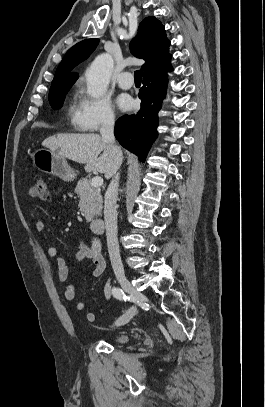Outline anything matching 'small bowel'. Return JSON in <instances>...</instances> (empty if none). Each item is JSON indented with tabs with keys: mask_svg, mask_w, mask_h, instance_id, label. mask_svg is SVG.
I'll list each match as a JSON object with an SVG mask.
<instances>
[{
	"mask_svg": "<svg viewBox=\"0 0 265 407\" xmlns=\"http://www.w3.org/2000/svg\"><path fill=\"white\" fill-rule=\"evenodd\" d=\"M34 228L36 231L41 232L45 228V222L44 220L38 218L34 222ZM47 254L49 257L54 258L56 260L57 264V269H58V274L59 277L62 281L66 282L69 279V264L67 260L61 256L58 255V252L55 247H48L47 248ZM76 260L79 262L88 260L92 263L93 268L91 271V275L93 277H99L101 276L106 268V263L103 258V255L101 253L100 248L95 244L93 246H87L83 242H80L78 251L76 253ZM111 293H112V288L107 281L104 285V296H105V302L104 305L99 309V312H104L110 309L112 305L111 301ZM76 296V288L72 282H69L64 290V297L67 301H72L74 300ZM75 309L78 312H82L85 309V303L82 301H79L75 305ZM87 320L91 323L96 322L98 319V312L96 311H90L87 313Z\"/></svg>",
	"mask_w": 265,
	"mask_h": 407,
	"instance_id": "obj_1",
	"label": "small bowel"
}]
</instances>
